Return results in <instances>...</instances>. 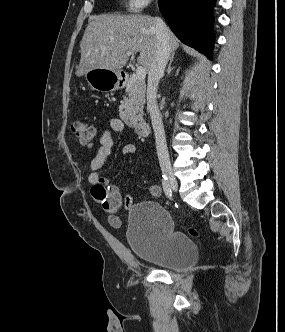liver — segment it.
<instances>
[{
    "label": "liver",
    "mask_w": 285,
    "mask_h": 332,
    "mask_svg": "<svg viewBox=\"0 0 285 332\" xmlns=\"http://www.w3.org/2000/svg\"><path fill=\"white\" fill-rule=\"evenodd\" d=\"M170 52L179 40L168 29ZM156 50V19L142 15H101L91 19L80 43L78 77L91 69L120 70L129 60L126 52H139L138 64L147 72Z\"/></svg>",
    "instance_id": "1"
}]
</instances>
